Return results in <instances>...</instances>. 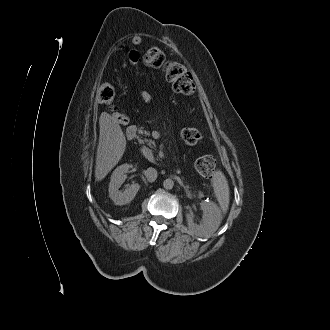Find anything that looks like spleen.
<instances>
[{
  "mask_svg": "<svg viewBox=\"0 0 330 330\" xmlns=\"http://www.w3.org/2000/svg\"><path fill=\"white\" fill-rule=\"evenodd\" d=\"M213 189L223 214L227 213L230 201L229 185L222 171L217 170L212 177Z\"/></svg>",
  "mask_w": 330,
  "mask_h": 330,
  "instance_id": "3e777b00",
  "label": "spleen"
}]
</instances>
